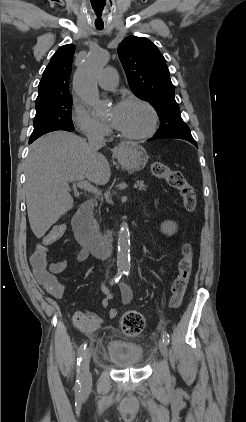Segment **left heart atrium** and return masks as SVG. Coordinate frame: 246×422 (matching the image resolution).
Listing matches in <instances>:
<instances>
[{
	"label": "left heart atrium",
	"instance_id": "left-heart-atrium-1",
	"mask_svg": "<svg viewBox=\"0 0 246 422\" xmlns=\"http://www.w3.org/2000/svg\"><path fill=\"white\" fill-rule=\"evenodd\" d=\"M111 122L114 126L117 125V122H118V110H117V108H115L113 114L111 115Z\"/></svg>",
	"mask_w": 246,
	"mask_h": 422
}]
</instances>
